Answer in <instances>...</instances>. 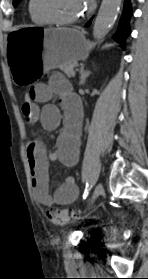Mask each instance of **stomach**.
<instances>
[{
  "instance_id": "obj_1",
  "label": "stomach",
  "mask_w": 148,
  "mask_h": 279,
  "mask_svg": "<svg viewBox=\"0 0 148 279\" xmlns=\"http://www.w3.org/2000/svg\"><path fill=\"white\" fill-rule=\"evenodd\" d=\"M45 25H22L10 30L5 40L8 49V78H15V87H36L45 72L66 62L85 60L87 41L80 30L71 28L45 29ZM42 49V50H37Z\"/></svg>"
}]
</instances>
